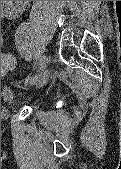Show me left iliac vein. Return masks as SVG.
<instances>
[{
	"mask_svg": "<svg viewBox=\"0 0 121 169\" xmlns=\"http://www.w3.org/2000/svg\"><path fill=\"white\" fill-rule=\"evenodd\" d=\"M39 62L42 63L46 68L48 64V57L46 55H42ZM48 79H49V72L47 69H45L42 72V74H39L38 77L34 81L30 82V85L36 86V87H42L47 83Z\"/></svg>",
	"mask_w": 121,
	"mask_h": 169,
	"instance_id": "4c4485c4",
	"label": "left iliac vein"
}]
</instances>
